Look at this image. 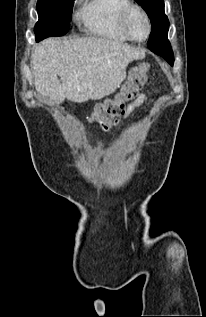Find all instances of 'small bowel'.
<instances>
[{"instance_id": "1", "label": "small bowel", "mask_w": 206, "mask_h": 317, "mask_svg": "<svg viewBox=\"0 0 206 317\" xmlns=\"http://www.w3.org/2000/svg\"><path fill=\"white\" fill-rule=\"evenodd\" d=\"M147 101V97L144 94H141L130 106L128 109V112H131L133 109H135L136 107L142 105L143 103H145ZM126 136H124L125 138Z\"/></svg>"}]
</instances>
